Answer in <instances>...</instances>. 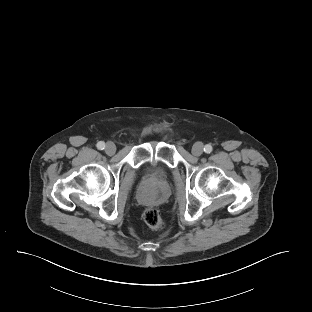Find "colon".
<instances>
[{"label":"colon","instance_id":"colon-1","mask_svg":"<svg viewBox=\"0 0 312 312\" xmlns=\"http://www.w3.org/2000/svg\"><path fill=\"white\" fill-rule=\"evenodd\" d=\"M144 222L154 230H161L164 227V221L157 208H147L143 213Z\"/></svg>","mask_w":312,"mask_h":312}]
</instances>
